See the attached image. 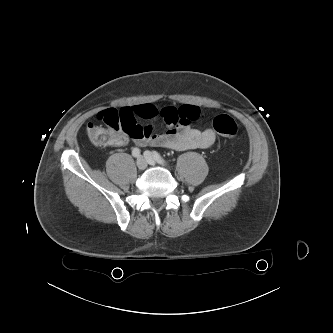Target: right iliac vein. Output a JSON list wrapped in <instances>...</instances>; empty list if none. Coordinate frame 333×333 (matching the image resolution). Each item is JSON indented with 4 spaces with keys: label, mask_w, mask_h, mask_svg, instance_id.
I'll return each instance as SVG.
<instances>
[{
    "label": "right iliac vein",
    "mask_w": 333,
    "mask_h": 333,
    "mask_svg": "<svg viewBox=\"0 0 333 333\" xmlns=\"http://www.w3.org/2000/svg\"><path fill=\"white\" fill-rule=\"evenodd\" d=\"M136 164L139 170H144L147 167V160L145 157H138Z\"/></svg>",
    "instance_id": "63e3f726"
}]
</instances>
